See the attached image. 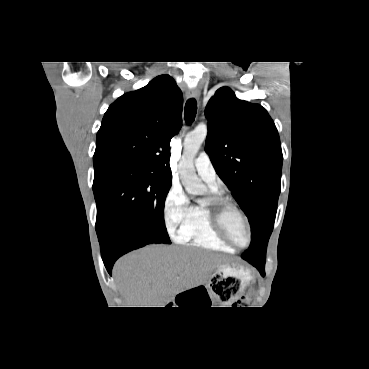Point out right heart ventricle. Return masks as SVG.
Here are the masks:
<instances>
[{
  "mask_svg": "<svg viewBox=\"0 0 369 369\" xmlns=\"http://www.w3.org/2000/svg\"><path fill=\"white\" fill-rule=\"evenodd\" d=\"M216 194V191L213 190ZM177 239L188 242L194 246H200L223 252H234V248L225 243L213 229L209 213L204 202L191 205L187 220L181 227Z\"/></svg>",
  "mask_w": 369,
  "mask_h": 369,
  "instance_id": "e07e8e85",
  "label": "right heart ventricle"
}]
</instances>
